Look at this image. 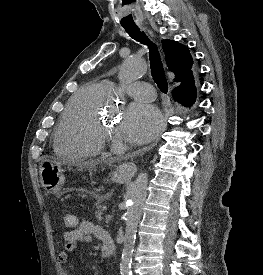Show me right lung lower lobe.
<instances>
[{
	"label": "right lung lower lobe",
	"instance_id": "right-lung-lower-lobe-1",
	"mask_svg": "<svg viewBox=\"0 0 263 275\" xmlns=\"http://www.w3.org/2000/svg\"><path fill=\"white\" fill-rule=\"evenodd\" d=\"M187 83L188 84H194V77H193V74H192V71L190 72L189 76H188V80H187ZM172 96L173 98L178 101L179 103H182L183 105L186 106V99H187V94H186V86H178V87H175L173 90H172Z\"/></svg>",
	"mask_w": 263,
	"mask_h": 275
}]
</instances>
